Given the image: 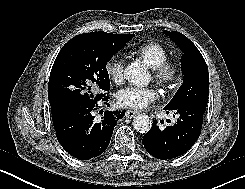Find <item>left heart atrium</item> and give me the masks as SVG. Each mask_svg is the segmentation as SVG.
Here are the masks:
<instances>
[{
	"instance_id": "39dd6f15",
	"label": "left heart atrium",
	"mask_w": 245,
	"mask_h": 189,
	"mask_svg": "<svg viewBox=\"0 0 245 189\" xmlns=\"http://www.w3.org/2000/svg\"><path fill=\"white\" fill-rule=\"evenodd\" d=\"M157 96V91L152 87L129 85L119 90L117 99L125 107L142 108L151 103Z\"/></svg>"
}]
</instances>
